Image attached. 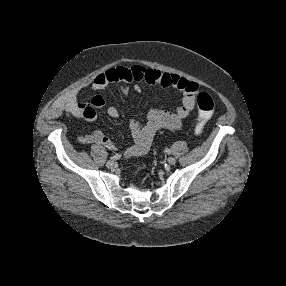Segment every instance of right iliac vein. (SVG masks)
<instances>
[{"instance_id": "1", "label": "right iliac vein", "mask_w": 286, "mask_h": 286, "mask_svg": "<svg viewBox=\"0 0 286 286\" xmlns=\"http://www.w3.org/2000/svg\"><path fill=\"white\" fill-rule=\"evenodd\" d=\"M106 166L108 167V168H113L114 167V162L113 161H108L107 163H106Z\"/></svg>"}]
</instances>
